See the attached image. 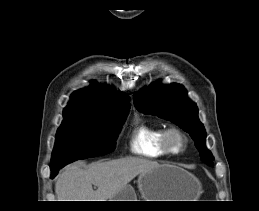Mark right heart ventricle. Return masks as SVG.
I'll return each mask as SVG.
<instances>
[{"label": "right heart ventricle", "mask_w": 259, "mask_h": 211, "mask_svg": "<svg viewBox=\"0 0 259 211\" xmlns=\"http://www.w3.org/2000/svg\"><path fill=\"white\" fill-rule=\"evenodd\" d=\"M164 131L162 124L141 122L134 125L129 138L131 153L149 159L166 157L168 153L162 142Z\"/></svg>", "instance_id": "e07e8e85"}]
</instances>
